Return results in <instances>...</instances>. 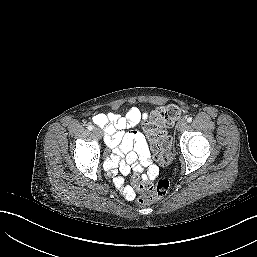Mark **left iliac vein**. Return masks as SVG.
Listing matches in <instances>:
<instances>
[{
  "label": "left iliac vein",
  "mask_w": 257,
  "mask_h": 257,
  "mask_svg": "<svg viewBox=\"0 0 257 257\" xmlns=\"http://www.w3.org/2000/svg\"><path fill=\"white\" fill-rule=\"evenodd\" d=\"M188 124L186 120H181L178 125H177V130L178 131H182L185 130L187 128Z\"/></svg>",
  "instance_id": "obj_1"
}]
</instances>
